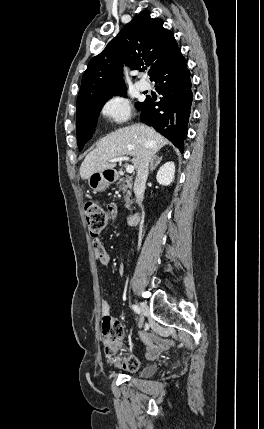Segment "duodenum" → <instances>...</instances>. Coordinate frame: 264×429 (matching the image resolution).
Here are the masks:
<instances>
[{
  "label": "duodenum",
  "mask_w": 264,
  "mask_h": 429,
  "mask_svg": "<svg viewBox=\"0 0 264 429\" xmlns=\"http://www.w3.org/2000/svg\"><path fill=\"white\" fill-rule=\"evenodd\" d=\"M141 214L139 212L133 213L128 216L127 222L129 225H137L140 222Z\"/></svg>",
  "instance_id": "1"
}]
</instances>
